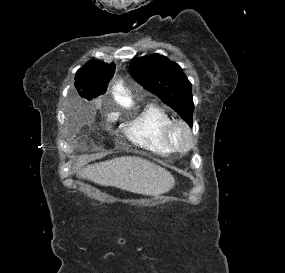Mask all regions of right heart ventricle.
<instances>
[{"label": "right heart ventricle", "mask_w": 285, "mask_h": 273, "mask_svg": "<svg viewBox=\"0 0 285 273\" xmlns=\"http://www.w3.org/2000/svg\"><path fill=\"white\" fill-rule=\"evenodd\" d=\"M172 120L164 108L148 104L135 119L124 124L122 130L133 145L157 154L169 155L174 150L166 141L165 131Z\"/></svg>", "instance_id": "1"}]
</instances>
